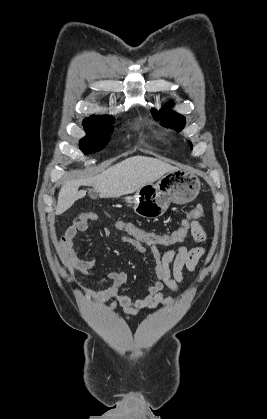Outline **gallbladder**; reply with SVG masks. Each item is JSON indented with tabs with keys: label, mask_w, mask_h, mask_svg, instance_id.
Segmentation results:
<instances>
[{
	"label": "gallbladder",
	"mask_w": 267,
	"mask_h": 419,
	"mask_svg": "<svg viewBox=\"0 0 267 419\" xmlns=\"http://www.w3.org/2000/svg\"><path fill=\"white\" fill-rule=\"evenodd\" d=\"M89 195L91 196L92 199L96 198V196H97L95 190H89Z\"/></svg>",
	"instance_id": "obj_1"
}]
</instances>
